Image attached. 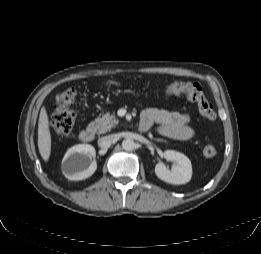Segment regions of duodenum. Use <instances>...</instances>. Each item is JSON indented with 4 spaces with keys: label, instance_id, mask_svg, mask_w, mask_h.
Here are the masks:
<instances>
[{
    "label": "duodenum",
    "instance_id": "duodenum-1",
    "mask_svg": "<svg viewBox=\"0 0 261 254\" xmlns=\"http://www.w3.org/2000/svg\"><path fill=\"white\" fill-rule=\"evenodd\" d=\"M142 128L144 129V127H142ZM139 129H140V127H139ZM140 131H142V130L140 129ZM94 136H95L94 128H87V129L82 130L79 133V139L84 143L91 142L94 139Z\"/></svg>",
    "mask_w": 261,
    "mask_h": 254
}]
</instances>
